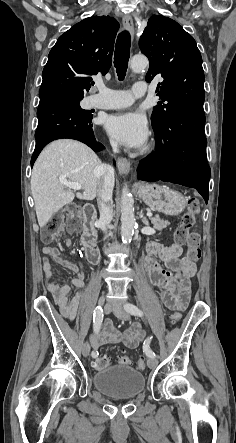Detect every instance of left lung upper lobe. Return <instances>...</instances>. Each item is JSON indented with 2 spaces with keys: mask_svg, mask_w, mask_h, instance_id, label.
<instances>
[{
  "mask_svg": "<svg viewBox=\"0 0 236 443\" xmlns=\"http://www.w3.org/2000/svg\"><path fill=\"white\" fill-rule=\"evenodd\" d=\"M139 46L149 59L146 81L151 82L156 75L163 78L156 90L161 101L153 109V128L162 127L167 116L181 107H203L202 57L190 34L174 20L155 15L149 19Z\"/></svg>",
  "mask_w": 236,
  "mask_h": 443,
  "instance_id": "left-lung-upper-lobe-1",
  "label": "left lung upper lobe"
}]
</instances>
